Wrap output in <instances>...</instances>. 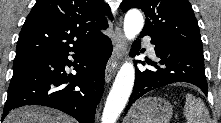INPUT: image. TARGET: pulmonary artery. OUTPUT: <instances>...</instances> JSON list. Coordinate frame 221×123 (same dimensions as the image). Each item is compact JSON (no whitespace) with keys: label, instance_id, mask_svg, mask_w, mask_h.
<instances>
[{"label":"pulmonary artery","instance_id":"pulmonary-artery-1","mask_svg":"<svg viewBox=\"0 0 221 123\" xmlns=\"http://www.w3.org/2000/svg\"><path fill=\"white\" fill-rule=\"evenodd\" d=\"M147 49H148L149 54L151 55L155 54L154 47L150 42H147Z\"/></svg>","mask_w":221,"mask_h":123}]
</instances>
